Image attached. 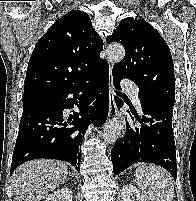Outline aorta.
<instances>
[{"mask_svg":"<svg viewBox=\"0 0 196 201\" xmlns=\"http://www.w3.org/2000/svg\"><path fill=\"white\" fill-rule=\"evenodd\" d=\"M107 58L111 63H118L125 56L124 47L120 44H112L106 49ZM122 125L117 119L110 120L104 127L103 139L106 143L113 144L120 136Z\"/></svg>","mask_w":196,"mask_h":201,"instance_id":"obj_1","label":"aorta"}]
</instances>
